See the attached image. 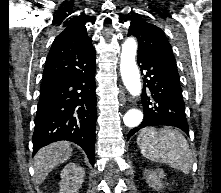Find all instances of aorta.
I'll use <instances>...</instances> for the list:
<instances>
[{"label": "aorta", "mask_w": 221, "mask_h": 193, "mask_svg": "<svg viewBox=\"0 0 221 193\" xmlns=\"http://www.w3.org/2000/svg\"><path fill=\"white\" fill-rule=\"evenodd\" d=\"M137 42L134 38H128L122 46L120 56V71L123 83L132 96H139L141 93V81L135 56ZM143 119V113L138 109L129 110L123 117L127 127H137Z\"/></svg>", "instance_id": "obj_1"}]
</instances>
